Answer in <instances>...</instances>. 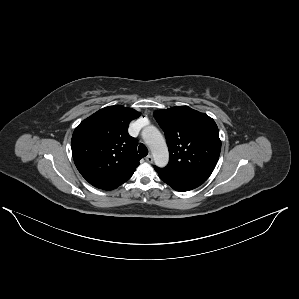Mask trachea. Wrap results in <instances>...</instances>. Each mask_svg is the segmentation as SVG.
Returning <instances> with one entry per match:
<instances>
[{"mask_svg": "<svg viewBox=\"0 0 299 299\" xmlns=\"http://www.w3.org/2000/svg\"><path fill=\"white\" fill-rule=\"evenodd\" d=\"M138 152L141 156L145 157L148 154V149L144 144H140L138 147Z\"/></svg>", "mask_w": 299, "mask_h": 299, "instance_id": "obj_1", "label": "trachea"}]
</instances>
